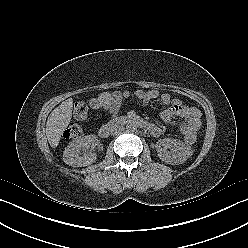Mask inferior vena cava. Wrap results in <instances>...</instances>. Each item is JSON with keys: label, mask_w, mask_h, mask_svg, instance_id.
I'll use <instances>...</instances> for the list:
<instances>
[{"label": "inferior vena cava", "mask_w": 248, "mask_h": 248, "mask_svg": "<svg viewBox=\"0 0 248 248\" xmlns=\"http://www.w3.org/2000/svg\"><path fill=\"white\" fill-rule=\"evenodd\" d=\"M123 130L124 128L122 126H115L112 128L111 134L117 135V134H120Z\"/></svg>", "instance_id": "602c4592"}]
</instances>
